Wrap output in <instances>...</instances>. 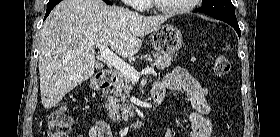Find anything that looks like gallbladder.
<instances>
[{
    "label": "gallbladder",
    "mask_w": 280,
    "mask_h": 137,
    "mask_svg": "<svg viewBox=\"0 0 280 137\" xmlns=\"http://www.w3.org/2000/svg\"><path fill=\"white\" fill-rule=\"evenodd\" d=\"M97 68H98V69H101V68H102V65H101L100 63H98V64H97Z\"/></svg>",
    "instance_id": "bac80fb5"
}]
</instances>
